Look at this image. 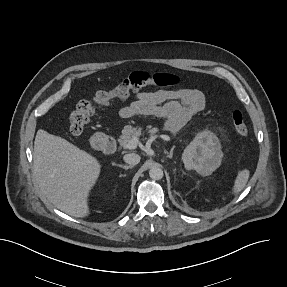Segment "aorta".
Instances as JSON below:
<instances>
[{
  "label": "aorta",
  "instance_id": "obj_1",
  "mask_svg": "<svg viewBox=\"0 0 287 287\" xmlns=\"http://www.w3.org/2000/svg\"><path fill=\"white\" fill-rule=\"evenodd\" d=\"M149 176L153 180H160L163 177V170L160 167H152L149 170Z\"/></svg>",
  "mask_w": 287,
  "mask_h": 287
}]
</instances>
